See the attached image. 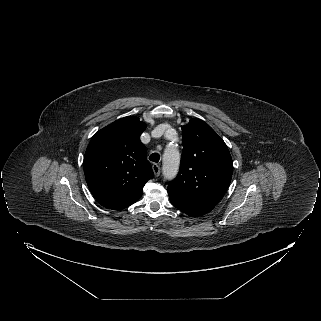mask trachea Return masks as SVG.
I'll return each mask as SVG.
<instances>
[{
  "instance_id": "3493384b",
  "label": "trachea",
  "mask_w": 321,
  "mask_h": 321,
  "mask_svg": "<svg viewBox=\"0 0 321 321\" xmlns=\"http://www.w3.org/2000/svg\"><path fill=\"white\" fill-rule=\"evenodd\" d=\"M149 160L157 163L160 160V155L158 153H152L149 156Z\"/></svg>"
}]
</instances>
